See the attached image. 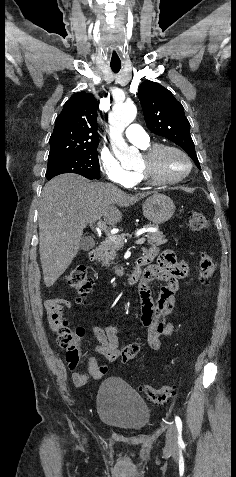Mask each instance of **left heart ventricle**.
<instances>
[{"label": "left heart ventricle", "mask_w": 236, "mask_h": 477, "mask_svg": "<svg viewBox=\"0 0 236 477\" xmlns=\"http://www.w3.org/2000/svg\"><path fill=\"white\" fill-rule=\"evenodd\" d=\"M144 165L142 157L139 167ZM187 168L185 159L178 153L167 151L154 164V175L158 179H171L182 175Z\"/></svg>", "instance_id": "b2bd125f"}]
</instances>
